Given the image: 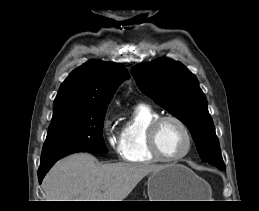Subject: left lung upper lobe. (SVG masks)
Masks as SVG:
<instances>
[{
	"instance_id": "1",
	"label": "left lung upper lobe",
	"mask_w": 259,
	"mask_h": 211,
	"mask_svg": "<svg viewBox=\"0 0 259 211\" xmlns=\"http://www.w3.org/2000/svg\"><path fill=\"white\" fill-rule=\"evenodd\" d=\"M139 88L191 132L201 159L224 170L219 141L199 83L180 62L157 58L132 68Z\"/></svg>"
}]
</instances>
